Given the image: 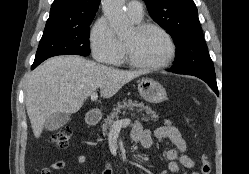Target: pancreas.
Returning a JSON list of instances; mask_svg holds the SVG:
<instances>
[{
  "mask_svg": "<svg viewBox=\"0 0 249 174\" xmlns=\"http://www.w3.org/2000/svg\"><path fill=\"white\" fill-rule=\"evenodd\" d=\"M135 109L137 110V112L145 111L146 114L150 116L148 118H143L146 121H148L150 118L152 120L158 119V115H156V113L150 108V106L144 105L143 102L123 100L122 102H118L116 107L113 108L112 113L104 119V122L101 126L103 135H107V132L111 129L114 120L118 119V115L119 113H121V111H123L122 113L124 115L125 110L134 111Z\"/></svg>",
  "mask_w": 249,
  "mask_h": 174,
  "instance_id": "pancreas-1",
  "label": "pancreas"
}]
</instances>
